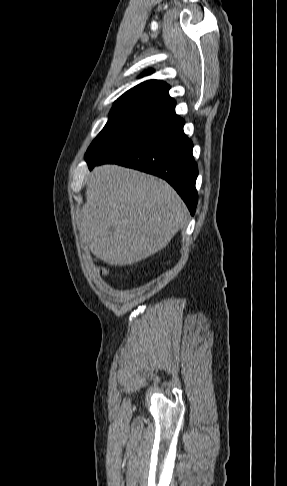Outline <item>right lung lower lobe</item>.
<instances>
[{
  "instance_id": "1",
  "label": "right lung lower lobe",
  "mask_w": 287,
  "mask_h": 486,
  "mask_svg": "<svg viewBox=\"0 0 287 486\" xmlns=\"http://www.w3.org/2000/svg\"><path fill=\"white\" fill-rule=\"evenodd\" d=\"M183 126L184 120L172 113L139 138L90 164L89 169L116 163L159 176L173 186L194 215L198 168L192 155L193 144L184 134Z\"/></svg>"
}]
</instances>
